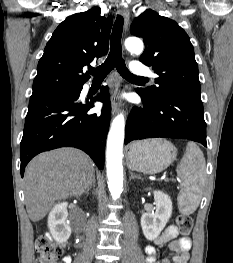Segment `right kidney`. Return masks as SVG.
Instances as JSON below:
<instances>
[{"label":"right kidney","mask_w":233,"mask_h":263,"mask_svg":"<svg viewBox=\"0 0 233 263\" xmlns=\"http://www.w3.org/2000/svg\"><path fill=\"white\" fill-rule=\"evenodd\" d=\"M67 206V202L55 205L48 216V228L51 235L60 243L66 242L71 235V228L67 223Z\"/></svg>","instance_id":"obj_1"}]
</instances>
